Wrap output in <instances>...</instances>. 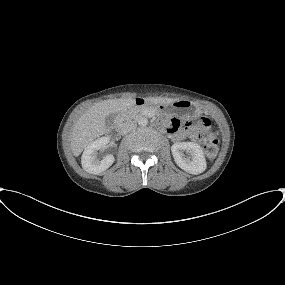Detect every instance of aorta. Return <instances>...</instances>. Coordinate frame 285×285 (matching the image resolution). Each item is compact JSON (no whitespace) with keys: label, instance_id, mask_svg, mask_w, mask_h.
<instances>
[{"label":"aorta","instance_id":"1","mask_svg":"<svg viewBox=\"0 0 285 285\" xmlns=\"http://www.w3.org/2000/svg\"><path fill=\"white\" fill-rule=\"evenodd\" d=\"M148 124V119L146 117H140L138 119V125L144 127Z\"/></svg>","mask_w":285,"mask_h":285}]
</instances>
